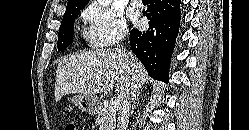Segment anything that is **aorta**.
Returning a JSON list of instances; mask_svg holds the SVG:
<instances>
[{
	"instance_id": "aorta-1",
	"label": "aorta",
	"mask_w": 249,
	"mask_h": 130,
	"mask_svg": "<svg viewBox=\"0 0 249 130\" xmlns=\"http://www.w3.org/2000/svg\"><path fill=\"white\" fill-rule=\"evenodd\" d=\"M100 5L103 7L108 6L111 3V0H99Z\"/></svg>"
}]
</instances>
